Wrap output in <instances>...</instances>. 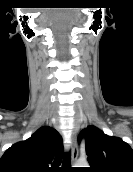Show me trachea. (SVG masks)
Segmentation results:
<instances>
[{"instance_id": "3493384b", "label": "trachea", "mask_w": 133, "mask_h": 172, "mask_svg": "<svg viewBox=\"0 0 133 172\" xmlns=\"http://www.w3.org/2000/svg\"><path fill=\"white\" fill-rule=\"evenodd\" d=\"M64 164L66 166H70L71 165V155H70V153L65 155V157H64Z\"/></svg>"}]
</instances>
